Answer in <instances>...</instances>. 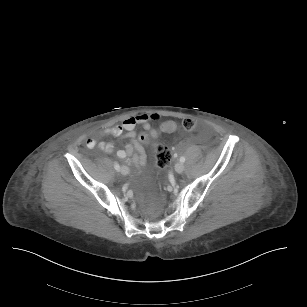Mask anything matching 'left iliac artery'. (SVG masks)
<instances>
[{
    "label": "left iliac artery",
    "instance_id": "obj_1",
    "mask_svg": "<svg viewBox=\"0 0 307 307\" xmlns=\"http://www.w3.org/2000/svg\"><path fill=\"white\" fill-rule=\"evenodd\" d=\"M185 160H186V159H185V157H184V156H181V157H180V162L184 163V162H185Z\"/></svg>",
    "mask_w": 307,
    "mask_h": 307
}]
</instances>
